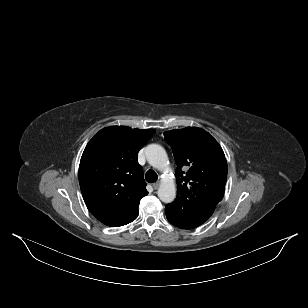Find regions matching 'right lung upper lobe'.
I'll use <instances>...</instances> for the list:
<instances>
[{
    "mask_svg": "<svg viewBox=\"0 0 308 308\" xmlns=\"http://www.w3.org/2000/svg\"><path fill=\"white\" fill-rule=\"evenodd\" d=\"M155 133L112 126L100 130L87 144L80 161L79 183L89 211L103 224L126 225L139 214L148 194L137 154Z\"/></svg>",
    "mask_w": 308,
    "mask_h": 308,
    "instance_id": "1",
    "label": "right lung upper lobe"
}]
</instances>
